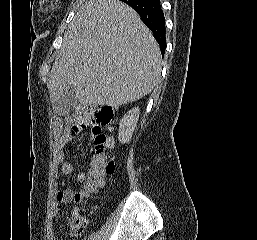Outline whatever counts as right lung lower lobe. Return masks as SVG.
I'll list each match as a JSON object with an SVG mask.
<instances>
[{
	"label": "right lung lower lobe",
	"instance_id": "right-lung-lower-lobe-1",
	"mask_svg": "<svg viewBox=\"0 0 257 240\" xmlns=\"http://www.w3.org/2000/svg\"><path fill=\"white\" fill-rule=\"evenodd\" d=\"M142 18L145 25L153 32L160 45L162 56L165 53V18L161 9L160 0H126Z\"/></svg>",
	"mask_w": 257,
	"mask_h": 240
}]
</instances>
